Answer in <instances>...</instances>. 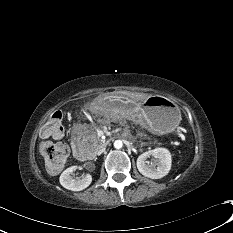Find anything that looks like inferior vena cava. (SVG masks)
Listing matches in <instances>:
<instances>
[{"mask_svg": "<svg viewBox=\"0 0 233 233\" xmlns=\"http://www.w3.org/2000/svg\"><path fill=\"white\" fill-rule=\"evenodd\" d=\"M105 151V148H100L97 150V155L102 154Z\"/></svg>", "mask_w": 233, "mask_h": 233, "instance_id": "1", "label": "inferior vena cava"}]
</instances>
